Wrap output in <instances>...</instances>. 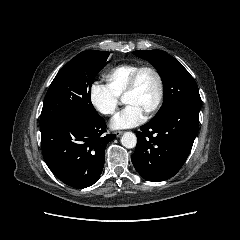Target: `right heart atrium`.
<instances>
[{
	"label": "right heart atrium",
	"instance_id": "1",
	"mask_svg": "<svg viewBox=\"0 0 240 240\" xmlns=\"http://www.w3.org/2000/svg\"><path fill=\"white\" fill-rule=\"evenodd\" d=\"M89 99L92 106L103 115H112L120 105V98L113 89L101 81H93L89 86Z\"/></svg>",
	"mask_w": 240,
	"mask_h": 240
}]
</instances>
